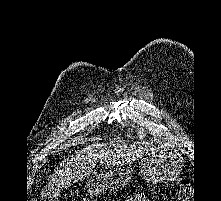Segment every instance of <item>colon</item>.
I'll return each mask as SVG.
<instances>
[{
	"mask_svg": "<svg viewBox=\"0 0 221 201\" xmlns=\"http://www.w3.org/2000/svg\"><path fill=\"white\" fill-rule=\"evenodd\" d=\"M191 196H192V192H191L190 183L188 180H184L181 183L179 190L177 192V198L179 201H188L191 199Z\"/></svg>",
	"mask_w": 221,
	"mask_h": 201,
	"instance_id": "obj_1",
	"label": "colon"
}]
</instances>
